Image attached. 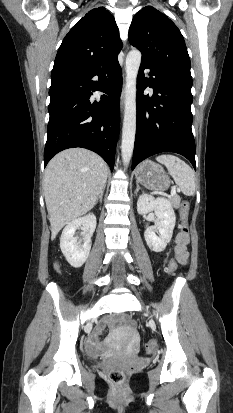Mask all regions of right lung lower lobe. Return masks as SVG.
<instances>
[{
  "instance_id": "98d812e1",
  "label": "right lung lower lobe",
  "mask_w": 233,
  "mask_h": 413,
  "mask_svg": "<svg viewBox=\"0 0 233 413\" xmlns=\"http://www.w3.org/2000/svg\"><path fill=\"white\" fill-rule=\"evenodd\" d=\"M121 88L122 74L117 57L51 77L44 167L58 152L83 147L99 154L113 170ZM92 91L103 92L99 102L90 99Z\"/></svg>"
}]
</instances>
